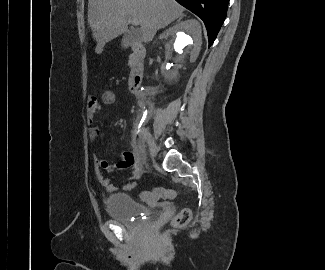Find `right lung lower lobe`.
<instances>
[{
	"label": "right lung lower lobe",
	"mask_w": 325,
	"mask_h": 270,
	"mask_svg": "<svg viewBox=\"0 0 325 270\" xmlns=\"http://www.w3.org/2000/svg\"><path fill=\"white\" fill-rule=\"evenodd\" d=\"M199 16L207 29L209 46L212 45L226 18L229 0H176Z\"/></svg>",
	"instance_id": "obj_1"
}]
</instances>
